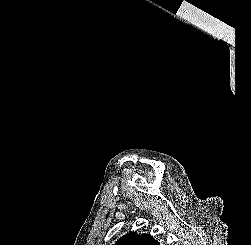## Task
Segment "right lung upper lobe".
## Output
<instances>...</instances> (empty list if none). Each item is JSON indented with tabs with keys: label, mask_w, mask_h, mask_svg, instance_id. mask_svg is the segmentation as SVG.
<instances>
[{
	"label": "right lung upper lobe",
	"mask_w": 251,
	"mask_h": 245,
	"mask_svg": "<svg viewBox=\"0 0 251 245\" xmlns=\"http://www.w3.org/2000/svg\"><path fill=\"white\" fill-rule=\"evenodd\" d=\"M115 245H160V243L150 235H137L134 232H130L121 237Z\"/></svg>",
	"instance_id": "right-lung-upper-lobe-1"
}]
</instances>
